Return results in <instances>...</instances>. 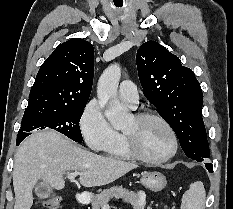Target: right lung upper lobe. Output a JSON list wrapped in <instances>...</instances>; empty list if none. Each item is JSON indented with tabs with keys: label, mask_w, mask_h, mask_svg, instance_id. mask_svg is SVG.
Segmentation results:
<instances>
[{
	"label": "right lung upper lobe",
	"mask_w": 233,
	"mask_h": 209,
	"mask_svg": "<svg viewBox=\"0 0 233 209\" xmlns=\"http://www.w3.org/2000/svg\"><path fill=\"white\" fill-rule=\"evenodd\" d=\"M94 48L73 38L60 44L41 65L28 106H69L88 101L94 75Z\"/></svg>",
	"instance_id": "right-lung-upper-lobe-1"
}]
</instances>
